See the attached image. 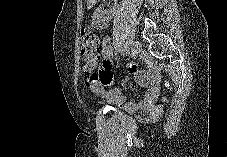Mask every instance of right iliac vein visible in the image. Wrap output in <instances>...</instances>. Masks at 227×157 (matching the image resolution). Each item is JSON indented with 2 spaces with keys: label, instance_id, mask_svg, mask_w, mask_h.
<instances>
[{
  "label": "right iliac vein",
  "instance_id": "1",
  "mask_svg": "<svg viewBox=\"0 0 227 157\" xmlns=\"http://www.w3.org/2000/svg\"><path fill=\"white\" fill-rule=\"evenodd\" d=\"M130 49L133 54H136L138 50L140 49V43L138 41H134L130 45Z\"/></svg>",
  "mask_w": 227,
  "mask_h": 157
}]
</instances>
